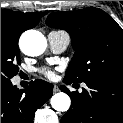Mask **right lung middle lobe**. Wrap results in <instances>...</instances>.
Masks as SVG:
<instances>
[{
  "mask_svg": "<svg viewBox=\"0 0 123 123\" xmlns=\"http://www.w3.org/2000/svg\"><path fill=\"white\" fill-rule=\"evenodd\" d=\"M19 37L20 33L11 21L1 20V82L10 81L19 71Z\"/></svg>",
  "mask_w": 123,
  "mask_h": 123,
  "instance_id": "right-lung-middle-lobe-1",
  "label": "right lung middle lobe"
}]
</instances>
